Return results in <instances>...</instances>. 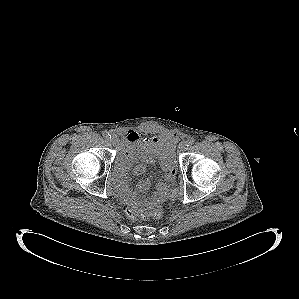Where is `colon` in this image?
Here are the masks:
<instances>
[{"label":"colon","instance_id":"colon-1","mask_svg":"<svg viewBox=\"0 0 299 299\" xmlns=\"http://www.w3.org/2000/svg\"><path fill=\"white\" fill-rule=\"evenodd\" d=\"M178 196H179L178 190H173L169 195L171 200L177 199ZM123 210L125 214L132 219H149V218L158 219L163 215V209L161 207L145 209L133 203H126L123 206Z\"/></svg>","mask_w":299,"mask_h":299}]
</instances>
